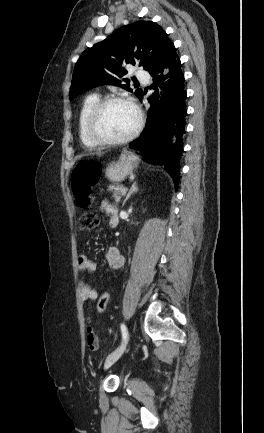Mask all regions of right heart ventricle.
<instances>
[{
	"instance_id": "obj_1",
	"label": "right heart ventricle",
	"mask_w": 264,
	"mask_h": 433,
	"mask_svg": "<svg viewBox=\"0 0 264 433\" xmlns=\"http://www.w3.org/2000/svg\"><path fill=\"white\" fill-rule=\"evenodd\" d=\"M100 100V95L98 93H91L87 95L80 107L79 114H78V133L80 140L83 145L85 146H94L95 144L92 143V141L89 139L86 133L85 124L86 119L93 108V106Z\"/></svg>"
}]
</instances>
